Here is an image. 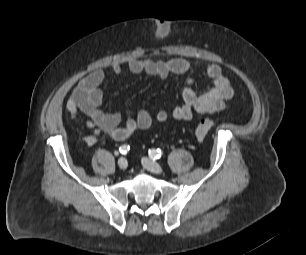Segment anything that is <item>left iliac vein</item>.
Returning a JSON list of instances; mask_svg holds the SVG:
<instances>
[{
  "label": "left iliac vein",
  "mask_w": 306,
  "mask_h": 255,
  "mask_svg": "<svg viewBox=\"0 0 306 255\" xmlns=\"http://www.w3.org/2000/svg\"><path fill=\"white\" fill-rule=\"evenodd\" d=\"M142 165L149 170L152 173L155 174H162L163 173V168L161 167L160 164H158L157 162L147 158V157H143L142 160Z\"/></svg>",
  "instance_id": "left-iliac-vein-1"
}]
</instances>
